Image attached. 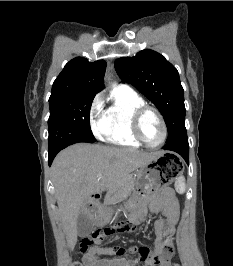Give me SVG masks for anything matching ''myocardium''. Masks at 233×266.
<instances>
[{
    "label": "myocardium",
    "mask_w": 233,
    "mask_h": 266,
    "mask_svg": "<svg viewBox=\"0 0 233 266\" xmlns=\"http://www.w3.org/2000/svg\"><path fill=\"white\" fill-rule=\"evenodd\" d=\"M148 111H152L153 113L156 114V116L158 117V119L161 123V126H162V130H163L162 139L157 144H149L148 142H146L142 136V133H141V121H142V118L145 115V113ZM131 130H132V134H133L134 138L140 144H142L148 148H158V147L162 146L165 143V141L167 139V135H168L167 125H166V122H165L163 115L161 114V112L156 107L148 105V104H143L134 110V112L132 114V119H131Z\"/></svg>",
    "instance_id": "myocardium-1"
}]
</instances>
